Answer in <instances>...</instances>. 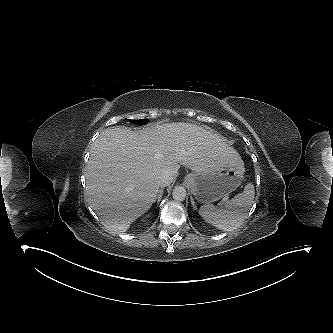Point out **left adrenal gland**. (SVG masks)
<instances>
[{"label":"left adrenal gland","instance_id":"1","mask_svg":"<svg viewBox=\"0 0 333 333\" xmlns=\"http://www.w3.org/2000/svg\"><path fill=\"white\" fill-rule=\"evenodd\" d=\"M190 199H191V204L193 206V209L197 210V207H196V204L194 202V199L192 197Z\"/></svg>","mask_w":333,"mask_h":333}]
</instances>
